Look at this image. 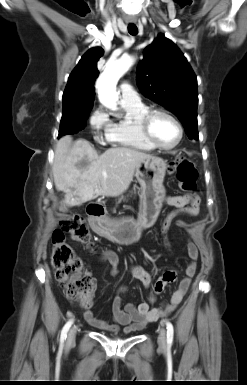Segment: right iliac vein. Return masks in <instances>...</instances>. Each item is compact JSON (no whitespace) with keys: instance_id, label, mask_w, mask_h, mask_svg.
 <instances>
[{"instance_id":"1","label":"right iliac vein","mask_w":247,"mask_h":385,"mask_svg":"<svg viewBox=\"0 0 247 385\" xmlns=\"http://www.w3.org/2000/svg\"><path fill=\"white\" fill-rule=\"evenodd\" d=\"M76 332H77V327L74 326L70 329L69 333H68V342H72L74 341L75 339V336H76Z\"/></svg>"}]
</instances>
